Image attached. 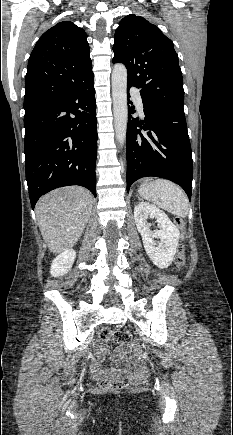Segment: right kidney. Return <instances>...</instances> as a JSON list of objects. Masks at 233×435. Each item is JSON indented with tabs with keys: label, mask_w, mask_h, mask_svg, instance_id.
Segmentation results:
<instances>
[{
	"label": "right kidney",
	"mask_w": 233,
	"mask_h": 435,
	"mask_svg": "<svg viewBox=\"0 0 233 435\" xmlns=\"http://www.w3.org/2000/svg\"><path fill=\"white\" fill-rule=\"evenodd\" d=\"M76 258V252L73 249H68L59 254L52 262L50 274L53 277H58L66 274L72 267Z\"/></svg>",
	"instance_id": "obj_1"
}]
</instances>
